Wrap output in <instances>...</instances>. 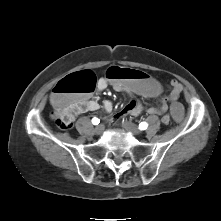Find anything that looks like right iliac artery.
Masks as SVG:
<instances>
[{
    "label": "right iliac artery",
    "instance_id": "obj_1",
    "mask_svg": "<svg viewBox=\"0 0 221 221\" xmlns=\"http://www.w3.org/2000/svg\"><path fill=\"white\" fill-rule=\"evenodd\" d=\"M99 122H100V120H99L97 117H94V118L92 119V123H93L94 125L99 124Z\"/></svg>",
    "mask_w": 221,
    "mask_h": 221
}]
</instances>
